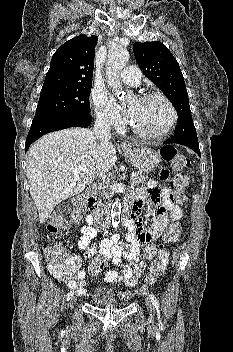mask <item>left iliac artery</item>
<instances>
[{
    "label": "left iliac artery",
    "instance_id": "1",
    "mask_svg": "<svg viewBox=\"0 0 233 352\" xmlns=\"http://www.w3.org/2000/svg\"><path fill=\"white\" fill-rule=\"evenodd\" d=\"M149 299L152 301L154 307L156 308L157 310V316H158V319L160 320V310H159V302L156 298V296L152 293L149 294Z\"/></svg>",
    "mask_w": 233,
    "mask_h": 352
}]
</instances>
